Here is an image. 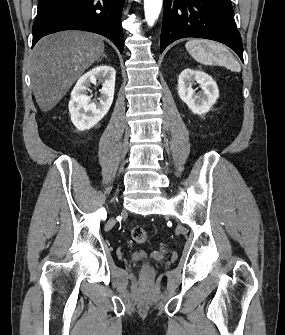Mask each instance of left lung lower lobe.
I'll return each mask as SVG.
<instances>
[{
  "label": "left lung lower lobe",
  "mask_w": 285,
  "mask_h": 335,
  "mask_svg": "<svg viewBox=\"0 0 285 335\" xmlns=\"http://www.w3.org/2000/svg\"><path fill=\"white\" fill-rule=\"evenodd\" d=\"M185 37L224 43L243 61L231 0H164L160 53L173 41Z\"/></svg>",
  "instance_id": "0a47b994"
}]
</instances>
